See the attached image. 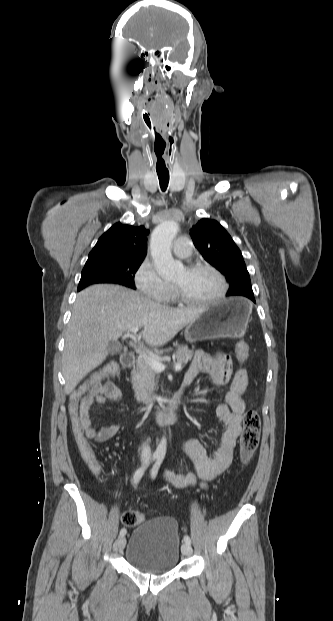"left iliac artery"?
Wrapping results in <instances>:
<instances>
[{"label":"left iliac artery","mask_w":333,"mask_h":621,"mask_svg":"<svg viewBox=\"0 0 333 621\" xmlns=\"http://www.w3.org/2000/svg\"><path fill=\"white\" fill-rule=\"evenodd\" d=\"M163 458L164 457L162 455H160L158 457V459L156 460L155 464L153 465V467L151 469V477H152V479L156 478V476L158 474V471H159V468H160V466L162 464ZM184 542L186 544H189V545L191 544V539H190V537L188 535L184 536Z\"/></svg>","instance_id":"obj_1"}]
</instances>
